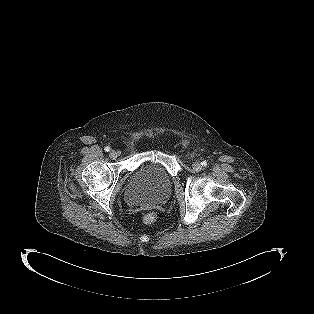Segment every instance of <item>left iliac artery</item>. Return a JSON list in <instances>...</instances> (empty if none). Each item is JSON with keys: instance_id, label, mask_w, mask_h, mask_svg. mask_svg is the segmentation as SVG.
I'll list each match as a JSON object with an SVG mask.
<instances>
[{"instance_id": "obj_1", "label": "left iliac artery", "mask_w": 314, "mask_h": 314, "mask_svg": "<svg viewBox=\"0 0 314 314\" xmlns=\"http://www.w3.org/2000/svg\"><path fill=\"white\" fill-rule=\"evenodd\" d=\"M201 164H202V166H204V167L207 166V162H206V161H203Z\"/></svg>"}]
</instances>
